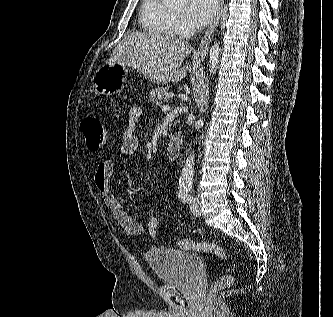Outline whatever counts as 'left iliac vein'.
I'll list each match as a JSON object with an SVG mask.
<instances>
[{"label":"left iliac vein","mask_w":333,"mask_h":317,"mask_svg":"<svg viewBox=\"0 0 333 317\" xmlns=\"http://www.w3.org/2000/svg\"><path fill=\"white\" fill-rule=\"evenodd\" d=\"M190 209H191V212L193 213V215H195V216L201 215L200 203L196 197L193 199Z\"/></svg>","instance_id":"obj_1"}]
</instances>
